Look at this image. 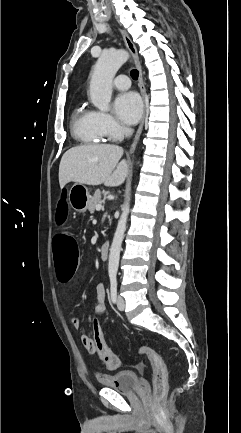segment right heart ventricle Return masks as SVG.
I'll use <instances>...</instances> for the list:
<instances>
[{"mask_svg": "<svg viewBox=\"0 0 241 433\" xmlns=\"http://www.w3.org/2000/svg\"><path fill=\"white\" fill-rule=\"evenodd\" d=\"M72 134L83 143H100L106 136L99 128L97 112L84 104H79L73 111Z\"/></svg>", "mask_w": 241, "mask_h": 433, "instance_id": "1", "label": "right heart ventricle"}]
</instances>
